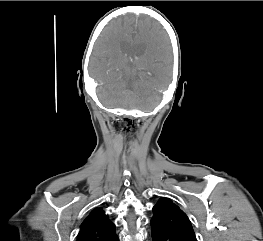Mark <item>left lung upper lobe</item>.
<instances>
[{"instance_id": "5c2ea615", "label": "left lung upper lobe", "mask_w": 263, "mask_h": 241, "mask_svg": "<svg viewBox=\"0 0 263 241\" xmlns=\"http://www.w3.org/2000/svg\"><path fill=\"white\" fill-rule=\"evenodd\" d=\"M152 221H156L189 241H197L190 220L171 199L161 198L153 208Z\"/></svg>"}]
</instances>
